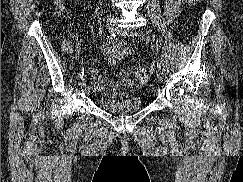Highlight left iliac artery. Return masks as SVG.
<instances>
[{
  "label": "left iliac artery",
  "mask_w": 243,
  "mask_h": 182,
  "mask_svg": "<svg viewBox=\"0 0 243 182\" xmlns=\"http://www.w3.org/2000/svg\"><path fill=\"white\" fill-rule=\"evenodd\" d=\"M135 36H139V37H141V38H143V39H146V40H150V37L149 36H147V35H145L144 33H142V32H135ZM157 68L160 70L161 69V65H160V63H159V61H157Z\"/></svg>",
  "instance_id": "left-iliac-artery-1"
}]
</instances>
